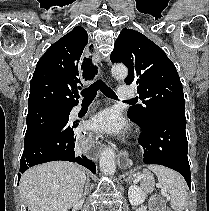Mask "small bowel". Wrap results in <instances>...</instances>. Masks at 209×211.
I'll use <instances>...</instances> for the list:
<instances>
[{"label":"small bowel","instance_id":"small-bowel-1","mask_svg":"<svg viewBox=\"0 0 209 211\" xmlns=\"http://www.w3.org/2000/svg\"><path fill=\"white\" fill-rule=\"evenodd\" d=\"M163 207L164 205H163L162 200L158 197L154 198L152 211H164Z\"/></svg>","mask_w":209,"mask_h":211}]
</instances>
